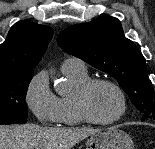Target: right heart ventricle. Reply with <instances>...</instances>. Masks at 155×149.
Instances as JSON below:
<instances>
[{
    "instance_id": "1",
    "label": "right heart ventricle",
    "mask_w": 155,
    "mask_h": 149,
    "mask_svg": "<svg viewBox=\"0 0 155 149\" xmlns=\"http://www.w3.org/2000/svg\"><path fill=\"white\" fill-rule=\"evenodd\" d=\"M64 74L74 84L75 89L90 79L86 71H71L64 72ZM58 123L65 126H76L83 123L74 103V94L58 98Z\"/></svg>"
}]
</instances>
